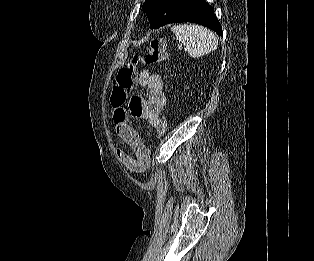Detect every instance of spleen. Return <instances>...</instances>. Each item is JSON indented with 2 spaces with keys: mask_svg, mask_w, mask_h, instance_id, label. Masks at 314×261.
<instances>
[{
  "mask_svg": "<svg viewBox=\"0 0 314 261\" xmlns=\"http://www.w3.org/2000/svg\"><path fill=\"white\" fill-rule=\"evenodd\" d=\"M177 39L186 46L191 57L198 58L214 51L218 46L215 34L200 25H175L172 27Z\"/></svg>",
  "mask_w": 314,
  "mask_h": 261,
  "instance_id": "1",
  "label": "spleen"
}]
</instances>
